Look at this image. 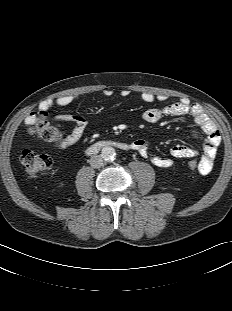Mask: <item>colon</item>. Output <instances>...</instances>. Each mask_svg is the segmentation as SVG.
Listing matches in <instances>:
<instances>
[{"instance_id":"1","label":"colon","mask_w":232,"mask_h":311,"mask_svg":"<svg viewBox=\"0 0 232 311\" xmlns=\"http://www.w3.org/2000/svg\"><path fill=\"white\" fill-rule=\"evenodd\" d=\"M30 130L37 136L39 141L46 143H58L60 141V134L57 129L43 119L36 122ZM20 160L27 175L31 178L41 175L52 167L50 157L44 154H38L29 149L22 151ZM187 165L192 170L199 167V163L195 158H190Z\"/></svg>"}]
</instances>
